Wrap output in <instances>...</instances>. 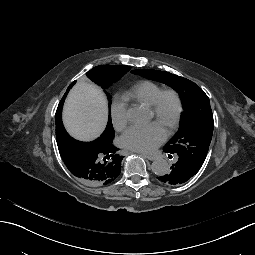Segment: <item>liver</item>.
Listing matches in <instances>:
<instances>
[{"label":"liver","instance_id":"obj_1","mask_svg":"<svg viewBox=\"0 0 255 255\" xmlns=\"http://www.w3.org/2000/svg\"><path fill=\"white\" fill-rule=\"evenodd\" d=\"M107 120L106 101L99 89L79 81L68 96L64 121L76 138L90 140L101 133Z\"/></svg>","mask_w":255,"mask_h":255}]
</instances>
